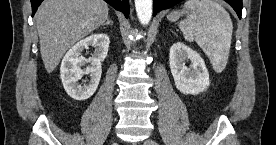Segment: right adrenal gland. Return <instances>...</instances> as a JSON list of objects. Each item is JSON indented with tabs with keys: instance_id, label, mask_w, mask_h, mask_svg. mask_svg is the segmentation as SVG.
Returning <instances> with one entry per match:
<instances>
[{
	"instance_id": "2a0ac1e0",
	"label": "right adrenal gland",
	"mask_w": 276,
	"mask_h": 145,
	"mask_svg": "<svg viewBox=\"0 0 276 145\" xmlns=\"http://www.w3.org/2000/svg\"><path fill=\"white\" fill-rule=\"evenodd\" d=\"M105 25H113V21L110 18H108L106 23H104L102 26L104 27Z\"/></svg>"
}]
</instances>
